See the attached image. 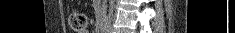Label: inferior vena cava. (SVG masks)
Listing matches in <instances>:
<instances>
[{"instance_id":"602c4592","label":"inferior vena cava","mask_w":235,"mask_h":33,"mask_svg":"<svg viewBox=\"0 0 235 33\" xmlns=\"http://www.w3.org/2000/svg\"><path fill=\"white\" fill-rule=\"evenodd\" d=\"M113 10L110 11V16L112 17Z\"/></svg>"}]
</instances>
